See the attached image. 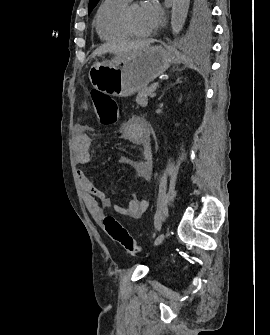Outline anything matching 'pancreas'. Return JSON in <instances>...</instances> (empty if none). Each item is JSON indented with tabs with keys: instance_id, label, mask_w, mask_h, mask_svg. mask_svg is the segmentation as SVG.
Here are the masks:
<instances>
[{
	"instance_id": "1",
	"label": "pancreas",
	"mask_w": 270,
	"mask_h": 335,
	"mask_svg": "<svg viewBox=\"0 0 270 335\" xmlns=\"http://www.w3.org/2000/svg\"><path fill=\"white\" fill-rule=\"evenodd\" d=\"M154 90L155 86H151V88H143V90H140V92H138L136 96V104H138V106H141V108H146L148 104V96H150V94L154 92Z\"/></svg>"
}]
</instances>
